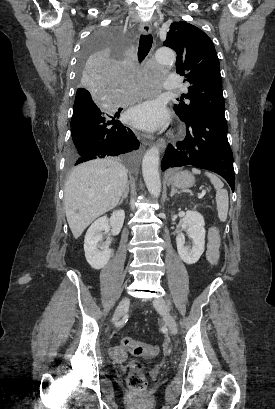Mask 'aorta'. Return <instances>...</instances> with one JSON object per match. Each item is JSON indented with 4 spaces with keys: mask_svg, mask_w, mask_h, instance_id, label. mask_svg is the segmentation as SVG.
<instances>
[{
    "mask_svg": "<svg viewBox=\"0 0 275 409\" xmlns=\"http://www.w3.org/2000/svg\"><path fill=\"white\" fill-rule=\"evenodd\" d=\"M152 60H159L162 64H170L175 58V52L171 48H159L157 51H152ZM159 164V148L152 146L146 150L142 160V172L145 184L153 196H159L161 190V180L158 170Z\"/></svg>",
    "mask_w": 275,
    "mask_h": 409,
    "instance_id": "aorta-1",
    "label": "aorta"
}]
</instances>
